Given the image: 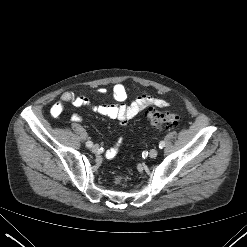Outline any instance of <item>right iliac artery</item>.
Returning a JSON list of instances; mask_svg holds the SVG:
<instances>
[{"label":"right iliac artery","instance_id":"obj_1","mask_svg":"<svg viewBox=\"0 0 247 247\" xmlns=\"http://www.w3.org/2000/svg\"><path fill=\"white\" fill-rule=\"evenodd\" d=\"M86 146L90 148V147L93 146V143H92L91 141H87V142H86Z\"/></svg>","mask_w":247,"mask_h":247}]
</instances>
